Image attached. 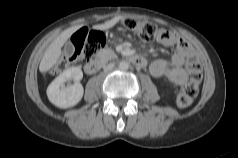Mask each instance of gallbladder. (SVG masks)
Returning a JSON list of instances; mask_svg holds the SVG:
<instances>
[{
  "instance_id": "1",
  "label": "gallbladder",
  "mask_w": 238,
  "mask_h": 158,
  "mask_svg": "<svg viewBox=\"0 0 238 158\" xmlns=\"http://www.w3.org/2000/svg\"><path fill=\"white\" fill-rule=\"evenodd\" d=\"M65 52L68 56H71L74 52V45L71 42L65 44Z\"/></svg>"
}]
</instances>
